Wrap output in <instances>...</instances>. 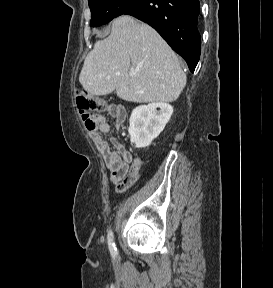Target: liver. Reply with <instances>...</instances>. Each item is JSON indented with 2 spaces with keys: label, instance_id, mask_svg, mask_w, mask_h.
<instances>
[{
  "label": "liver",
  "instance_id": "obj_1",
  "mask_svg": "<svg viewBox=\"0 0 273 288\" xmlns=\"http://www.w3.org/2000/svg\"><path fill=\"white\" fill-rule=\"evenodd\" d=\"M130 72H135L130 76ZM79 82L90 94L116 90L119 98L136 103H168L186 84L175 53L149 25L124 15L112 23L110 35L95 43L85 58Z\"/></svg>",
  "mask_w": 273,
  "mask_h": 288
}]
</instances>
